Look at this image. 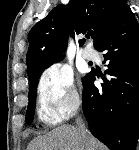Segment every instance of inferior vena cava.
I'll return each instance as SVG.
<instances>
[{
  "mask_svg": "<svg viewBox=\"0 0 139 150\" xmlns=\"http://www.w3.org/2000/svg\"><path fill=\"white\" fill-rule=\"evenodd\" d=\"M76 123H77V127L76 128L78 130L79 135L84 137L86 132H87L86 128H85V124L83 123V121L80 118H78L76 120Z\"/></svg>",
  "mask_w": 139,
  "mask_h": 150,
  "instance_id": "inferior-vena-cava-1",
  "label": "inferior vena cava"
}]
</instances>
